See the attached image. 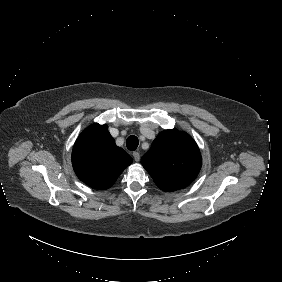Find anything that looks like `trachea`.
<instances>
[{
  "label": "trachea",
  "instance_id": "trachea-1",
  "mask_svg": "<svg viewBox=\"0 0 282 282\" xmlns=\"http://www.w3.org/2000/svg\"><path fill=\"white\" fill-rule=\"evenodd\" d=\"M139 145V140L136 136L131 135L126 140V146L130 151H134L137 149Z\"/></svg>",
  "mask_w": 282,
  "mask_h": 282
}]
</instances>
